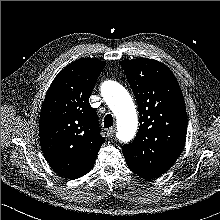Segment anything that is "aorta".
Instances as JSON below:
<instances>
[{"mask_svg": "<svg viewBox=\"0 0 220 220\" xmlns=\"http://www.w3.org/2000/svg\"><path fill=\"white\" fill-rule=\"evenodd\" d=\"M102 96L117 119V138L130 141L136 134L138 118L128 91L115 81H106L101 88Z\"/></svg>", "mask_w": 220, "mask_h": 220, "instance_id": "1", "label": "aorta"}]
</instances>
